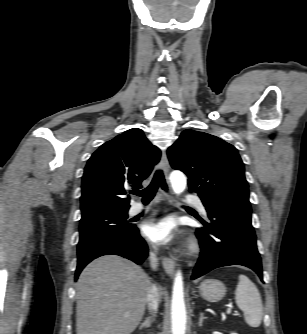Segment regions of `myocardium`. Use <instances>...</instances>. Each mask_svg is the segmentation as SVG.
<instances>
[{"label": "myocardium", "instance_id": "myocardium-1", "mask_svg": "<svg viewBox=\"0 0 307 334\" xmlns=\"http://www.w3.org/2000/svg\"><path fill=\"white\" fill-rule=\"evenodd\" d=\"M199 249L198 243L196 241H191L189 244V252L196 253Z\"/></svg>", "mask_w": 307, "mask_h": 334}]
</instances>
